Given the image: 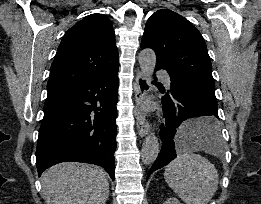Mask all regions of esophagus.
Instances as JSON below:
<instances>
[{"mask_svg": "<svg viewBox=\"0 0 261 204\" xmlns=\"http://www.w3.org/2000/svg\"><path fill=\"white\" fill-rule=\"evenodd\" d=\"M149 90L150 88L147 77L142 72L138 71L136 74L135 114L137 131L141 137H144L149 130V122L146 119V113L142 111V104L147 98Z\"/></svg>", "mask_w": 261, "mask_h": 204, "instance_id": "34e87169", "label": "esophagus"}]
</instances>
